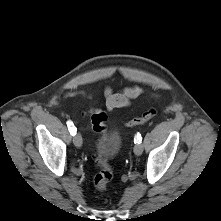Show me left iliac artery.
<instances>
[{
    "instance_id": "left-iliac-artery-1",
    "label": "left iliac artery",
    "mask_w": 221,
    "mask_h": 221,
    "mask_svg": "<svg viewBox=\"0 0 221 221\" xmlns=\"http://www.w3.org/2000/svg\"><path fill=\"white\" fill-rule=\"evenodd\" d=\"M134 141H135V143H136V142L139 143V142L142 141V137H141V135H140L139 133L135 136Z\"/></svg>"
}]
</instances>
